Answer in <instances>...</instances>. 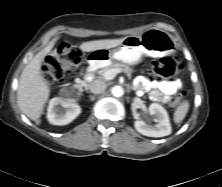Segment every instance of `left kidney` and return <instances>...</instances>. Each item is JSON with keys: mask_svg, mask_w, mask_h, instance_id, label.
I'll use <instances>...</instances> for the list:
<instances>
[{"mask_svg": "<svg viewBox=\"0 0 222 187\" xmlns=\"http://www.w3.org/2000/svg\"><path fill=\"white\" fill-rule=\"evenodd\" d=\"M149 113L156 117L157 124L148 125L143 120L137 119L134 122L136 130L148 137H164L172 132L171 124L167 111L158 103L149 106Z\"/></svg>", "mask_w": 222, "mask_h": 187, "instance_id": "left-kidney-1", "label": "left kidney"}]
</instances>
